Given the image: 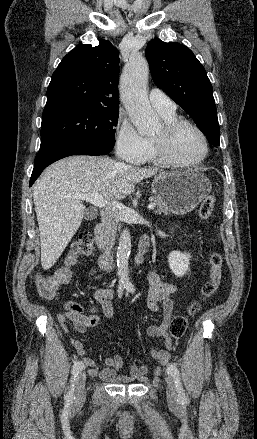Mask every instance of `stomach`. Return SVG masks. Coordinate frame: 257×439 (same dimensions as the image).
<instances>
[{
  "label": "stomach",
  "instance_id": "stomach-1",
  "mask_svg": "<svg viewBox=\"0 0 257 439\" xmlns=\"http://www.w3.org/2000/svg\"><path fill=\"white\" fill-rule=\"evenodd\" d=\"M211 189L210 180L196 171L162 173L152 183V193L176 215L193 211Z\"/></svg>",
  "mask_w": 257,
  "mask_h": 439
}]
</instances>
